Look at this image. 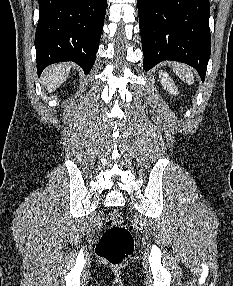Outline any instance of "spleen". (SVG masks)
Instances as JSON below:
<instances>
[{"label": "spleen", "mask_w": 233, "mask_h": 286, "mask_svg": "<svg viewBox=\"0 0 233 286\" xmlns=\"http://www.w3.org/2000/svg\"><path fill=\"white\" fill-rule=\"evenodd\" d=\"M173 71L176 73L177 76L180 77V79L187 84H193L194 83V75L192 72V68L188 65L182 64V63H174L173 64Z\"/></svg>", "instance_id": "spleen-1"}]
</instances>
